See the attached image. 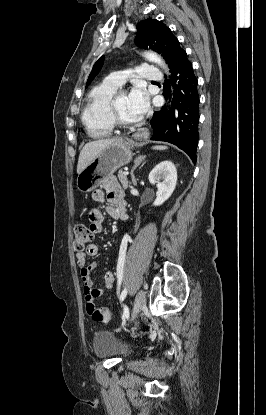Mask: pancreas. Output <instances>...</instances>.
I'll use <instances>...</instances> for the list:
<instances>
[{"mask_svg":"<svg viewBox=\"0 0 266 415\" xmlns=\"http://www.w3.org/2000/svg\"><path fill=\"white\" fill-rule=\"evenodd\" d=\"M118 178L123 188H128V186L130 185V182L128 181L127 175L124 174L122 170L119 171Z\"/></svg>","mask_w":266,"mask_h":415,"instance_id":"1","label":"pancreas"}]
</instances>
